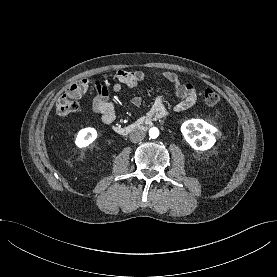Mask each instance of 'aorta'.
<instances>
[{"label": "aorta", "mask_w": 277, "mask_h": 277, "mask_svg": "<svg viewBox=\"0 0 277 277\" xmlns=\"http://www.w3.org/2000/svg\"><path fill=\"white\" fill-rule=\"evenodd\" d=\"M149 136L152 138V139H155L159 136V129L156 128V127H152L150 128L149 130Z\"/></svg>", "instance_id": "1"}]
</instances>
